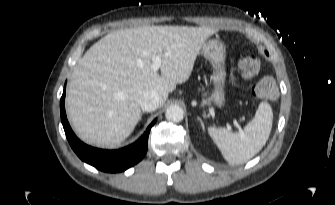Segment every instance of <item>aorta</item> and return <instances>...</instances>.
I'll return each mask as SVG.
<instances>
[{
    "mask_svg": "<svg viewBox=\"0 0 335 205\" xmlns=\"http://www.w3.org/2000/svg\"><path fill=\"white\" fill-rule=\"evenodd\" d=\"M165 116L170 122H180L184 118V111L178 105H171L167 108Z\"/></svg>",
    "mask_w": 335,
    "mask_h": 205,
    "instance_id": "1",
    "label": "aorta"
}]
</instances>
